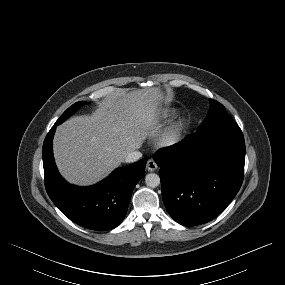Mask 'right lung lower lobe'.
I'll return each mask as SVG.
<instances>
[{
    "label": "right lung lower lobe",
    "mask_w": 285,
    "mask_h": 285,
    "mask_svg": "<svg viewBox=\"0 0 285 285\" xmlns=\"http://www.w3.org/2000/svg\"><path fill=\"white\" fill-rule=\"evenodd\" d=\"M57 123L43 143L45 188L53 203L73 222L97 231L111 230L124 219L137 182L144 176L146 160L114 170L89 187L67 183L55 165L52 140Z\"/></svg>",
    "instance_id": "obj_1"
}]
</instances>
